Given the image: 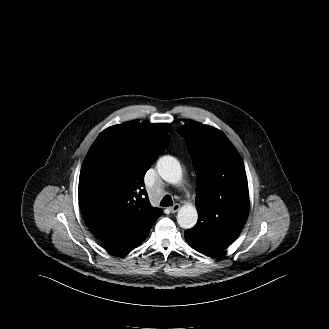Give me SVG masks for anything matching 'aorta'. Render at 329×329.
Here are the masks:
<instances>
[{
	"label": "aorta",
	"instance_id": "obj_1",
	"mask_svg": "<svg viewBox=\"0 0 329 329\" xmlns=\"http://www.w3.org/2000/svg\"><path fill=\"white\" fill-rule=\"evenodd\" d=\"M157 171L161 178L171 184L182 180V169L179 161L172 156H163L157 161ZM198 220V213L193 205L182 206L177 214V222L184 229L193 228Z\"/></svg>",
	"mask_w": 329,
	"mask_h": 329
}]
</instances>
